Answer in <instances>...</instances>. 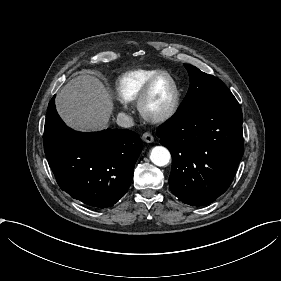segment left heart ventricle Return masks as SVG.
<instances>
[{"instance_id":"left-heart-ventricle-1","label":"left heart ventricle","mask_w":281,"mask_h":281,"mask_svg":"<svg viewBox=\"0 0 281 281\" xmlns=\"http://www.w3.org/2000/svg\"><path fill=\"white\" fill-rule=\"evenodd\" d=\"M173 87L168 79H163L157 83L153 95L147 105L152 113H160L165 111L172 100Z\"/></svg>"}]
</instances>
